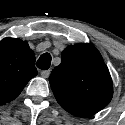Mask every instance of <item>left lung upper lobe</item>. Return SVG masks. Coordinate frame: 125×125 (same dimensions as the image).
<instances>
[{
  "label": "left lung upper lobe",
  "mask_w": 125,
  "mask_h": 125,
  "mask_svg": "<svg viewBox=\"0 0 125 125\" xmlns=\"http://www.w3.org/2000/svg\"><path fill=\"white\" fill-rule=\"evenodd\" d=\"M49 81L58 103L78 117L96 114L113 96L109 70L96 48L87 43L66 47Z\"/></svg>",
  "instance_id": "left-lung-upper-lobe-1"
}]
</instances>
